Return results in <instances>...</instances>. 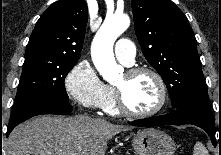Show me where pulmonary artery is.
Listing matches in <instances>:
<instances>
[{
	"mask_svg": "<svg viewBox=\"0 0 221 155\" xmlns=\"http://www.w3.org/2000/svg\"><path fill=\"white\" fill-rule=\"evenodd\" d=\"M115 56L124 65H131L135 58V47L132 41L122 38L115 45Z\"/></svg>",
	"mask_w": 221,
	"mask_h": 155,
	"instance_id": "1",
	"label": "pulmonary artery"
}]
</instances>
